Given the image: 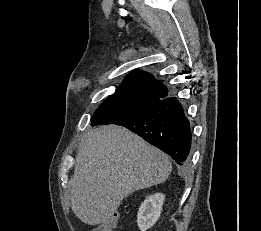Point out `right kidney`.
I'll use <instances>...</instances> for the list:
<instances>
[{"label": "right kidney", "instance_id": "1", "mask_svg": "<svg viewBox=\"0 0 261 231\" xmlns=\"http://www.w3.org/2000/svg\"><path fill=\"white\" fill-rule=\"evenodd\" d=\"M165 195L156 193L148 196L141 204L137 214V224L141 231L150 229L160 217Z\"/></svg>", "mask_w": 261, "mask_h": 231}]
</instances>
